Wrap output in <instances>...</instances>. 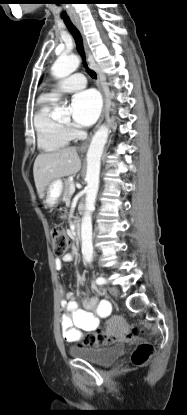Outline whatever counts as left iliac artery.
Segmentation results:
<instances>
[{
	"label": "left iliac artery",
	"mask_w": 187,
	"mask_h": 415,
	"mask_svg": "<svg viewBox=\"0 0 187 415\" xmlns=\"http://www.w3.org/2000/svg\"><path fill=\"white\" fill-rule=\"evenodd\" d=\"M96 283H97L98 285H103V284H105V283H106V280H105V278H103V277H98V278H97V280H96Z\"/></svg>",
	"instance_id": "1"
}]
</instances>
